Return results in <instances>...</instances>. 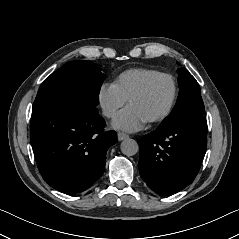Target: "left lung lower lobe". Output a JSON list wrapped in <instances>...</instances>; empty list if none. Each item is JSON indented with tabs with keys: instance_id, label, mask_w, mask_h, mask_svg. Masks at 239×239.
Wrapping results in <instances>:
<instances>
[{
	"instance_id": "left-lung-lower-lobe-1",
	"label": "left lung lower lobe",
	"mask_w": 239,
	"mask_h": 239,
	"mask_svg": "<svg viewBox=\"0 0 239 239\" xmlns=\"http://www.w3.org/2000/svg\"><path fill=\"white\" fill-rule=\"evenodd\" d=\"M207 148V121L191 114L150 134L140 145L139 171L156 193L181 191L195 179Z\"/></svg>"
}]
</instances>
